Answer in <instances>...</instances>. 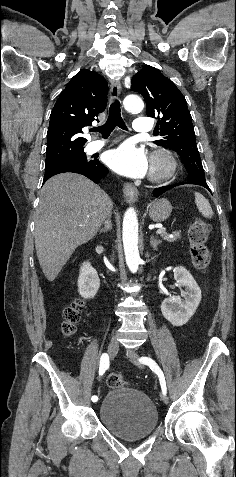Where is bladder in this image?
I'll return each instance as SVG.
<instances>
[{
	"instance_id": "1",
	"label": "bladder",
	"mask_w": 236,
	"mask_h": 477,
	"mask_svg": "<svg viewBox=\"0 0 236 477\" xmlns=\"http://www.w3.org/2000/svg\"><path fill=\"white\" fill-rule=\"evenodd\" d=\"M103 426L124 440H137L150 436L158 427L156 406L143 391L134 387L111 388L98 404Z\"/></svg>"
}]
</instances>
